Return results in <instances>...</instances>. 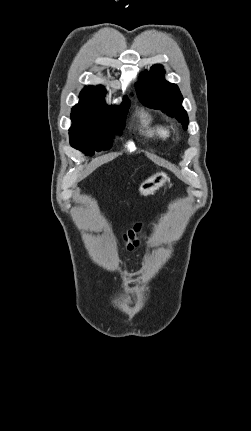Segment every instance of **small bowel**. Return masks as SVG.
<instances>
[{
    "label": "small bowel",
    "instance_id": "small-bowel-1",
    "mask_svg": "<svg viewBox=\"0 0 251 431\" xmlns=\"http://www.w3.org/2000/svg\"><path fill=\"white\" fill-rule=\"evenodd\" d=\"M126 299H127V302L129 303V304H131V300H130V298L127 296L126 297Z\"/></svg>",
    "mask_w": 251,
    "mask_h": 431
}]
</instances>
